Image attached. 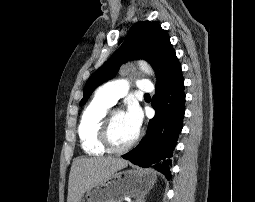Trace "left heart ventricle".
Here are the masks:
<instances>
[{"instance_id":"b2bd125f","label":"left heart ventricle","mask_w":255,"mask_h":202,"mask_svg":"<svg viewBox=\"0 0 255 202\" xmlns=\"http://www.w3.org/2000/svg\"><path fill=\"white\" fill-rule=\"evenodd\" d=\"M137 133L130 127L123 112H115L112 120L111 138L116 146H123Z\"/></svg>"}]
</instances>
